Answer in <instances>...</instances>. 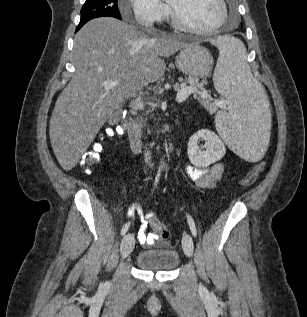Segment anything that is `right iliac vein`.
Listing matches in <instances>:
<instances>
[{
	"label": "right iliac vein",
	"instance_id": "obj_1",
	"mask_svg": "<svg viewBox=\"0 0 307 317\" xmlns=\"http://www.w3.org/2000/svg\"><path fill=\"white\" fill-rule=\"evenodd\" d=\"M134 236L132 234H126L121 242L120 253L122 258H126L134 248Z\"/></svg>",
	"mask_w": 307,
	"mask_h": 317
}]
</instances>
